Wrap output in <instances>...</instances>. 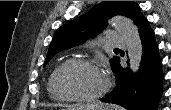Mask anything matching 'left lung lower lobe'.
I'll use <instances>...</instances> for the list:
<instances>
[{"instance_id":"0a47b994","label":"left lung lower lobe","mask_w":171,"mask_h":110,"mask_svg":"<svg viewBox=\"0 0 171 110\" xmlns=\"http://www.w3.org/2000/svg\"><path fill=\"white\" fill-rule=\"evenodd\" d=\"M137 27L143 45L140 70L133 74L119 62L115 69L116 87L102 101L118 104L127 110H156L163 80L158 45L145 17Z\"/></svg>"}]
</instances>
